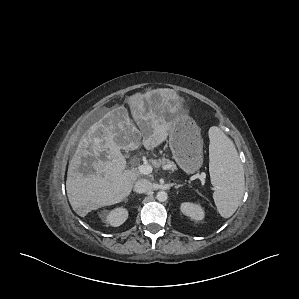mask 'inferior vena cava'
<instances>
[{
  "label": "inferior vena cava",
  "instance_id": "1",
  "mask_svg": "<svg viewBox=\"0 0 299 299\" xmlns=\"http://www.w3.org/2000/svg\"><path fill=\"white\" fill-rule=\"evenodd\" d=\"M152 190V183L147 179H139L135 182L134 191L139 194L147 193Z\"/></svg>",
  "mask_w": 299,
  "mask_h": 299
}]
</instances>
